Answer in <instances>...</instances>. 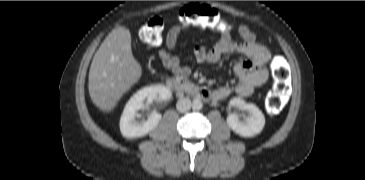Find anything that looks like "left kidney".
<instances>
[{"label": "left kidney", "instance_id": "obj_1", "mask_svg": "<svg viewBox=\"0 0 365 180\" xmlns=\"http://www.w3.org/2000/svg\"><path fill=\"white\" fill-rule=\"evenodd\" d=\"M230 105L239 107L249 113L243 121H240L238 115L235 113H230L228 115L227 124L235 133L243 137H252L262 131L265 125V118L256 105L246 103L241 98H233L230 101Z\"/></svg>", "mask_w": 365, "mask_h": 180}]
</instances>
